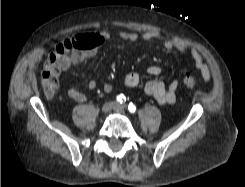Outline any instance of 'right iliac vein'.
Segmentation results:
<instances>
[{
	"mask_svg": "<svg viewBox=\"0 0 245 187\" xmlns=\"http://www.w3.org/2000/svg\"><path fill=\"white\" fill-rule=\"evenodd\" d=\"M114 106H115V103L114 102H106L102 106L101 111L106 114V113L110 112L114 108Z\"/></svg>",
	"mask_w": 245,
	"mask_h": 187,
	"instance_id": "right-iliac-vein-1",
	"label": "right iliac vein"
}]
</instances>
